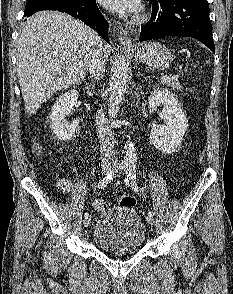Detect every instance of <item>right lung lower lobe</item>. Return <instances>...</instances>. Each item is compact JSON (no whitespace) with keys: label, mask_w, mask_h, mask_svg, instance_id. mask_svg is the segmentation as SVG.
<instances>
[{"label":"right lung lower lobe","mask_w":233,"mask_h":294,"mask_svg":"<svg viewBox=\"0 0 233 294\" xmlns=\"http://www.w3.org/2000/svg\"><path fill=\"white\" fill-rule=\"evenodd\" d=\"M42 10H56L60 12H65L75 18L80 19L86 25L91 28H95L99 35L107 42L108 39V27L109 24L102 16L99 11L95 0H73V1H61L52 4H48L34 10L33 12L25 15L29 17L34 13Z\"/></svg>","instance_id":"right-lung-lower-lobe-1"}]
</instances>
